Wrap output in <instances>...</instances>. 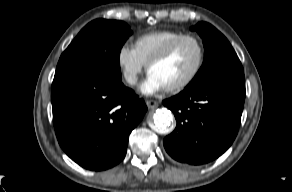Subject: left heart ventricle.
I'll use <instances>...</instances> for the list:
<instances>
[{
    "instance_id": "obj_1",
    "label": "left heart ventricle",
    "mask_w": 292,
    "mask_h": 192,
    "mask_svg": "<svg viewBox=\"0 0 292 192\" xmlns=\"http://www.w3.org/2000/svg\"><path fill=\"white\" fill-rule=\"evenodd\" d=\"M199 59V50L192 41L183 42L165 61L154 65L150 73L155 75L165 87L183 81L195 69Z\"/></svg>"
}]
</instances>
